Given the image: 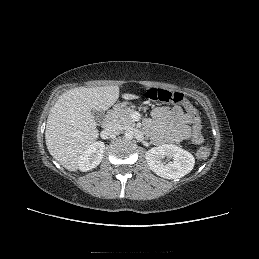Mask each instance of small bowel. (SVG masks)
Here are the masks:
<instances>
[{
    "instance_id": "1",
    "label": "small bowel",
    "mask_w": 259,
    "mask_h": 259,
    "mask_svg": "<svg viewBox=\"0 0 259 259\" xmlns=\"http://www.w3.org/2000/svg\"><path fill=\"white\" fill-rule=\"evenodd\" d=\"M188 115L189 111L185 112L181 107H158L152 111L147 125L153 130L157 143L192 141V123Z\"/></svg>"
}]
</instances>
